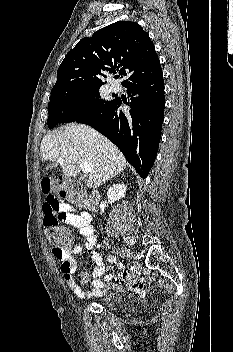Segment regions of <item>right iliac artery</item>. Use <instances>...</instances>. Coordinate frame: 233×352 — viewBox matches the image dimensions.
Wrapping results in <instances>:
<instances>
[{"mask_svg": "<svg viewBox=\"0 0 233 352\" xmlns=\"http://www.w3.org/2000/svg\"><path fill=\"white\" fill-rule=\"evenodd\" d=\"M116 260H117V257H116V256L110 255V256L108 257V261H109V262H116Z\"/></svg>", "mask_w": 233, "mask_h": 352, "instance_id": "82829eb1", "label": "right iliac artery"}]
</instances>
